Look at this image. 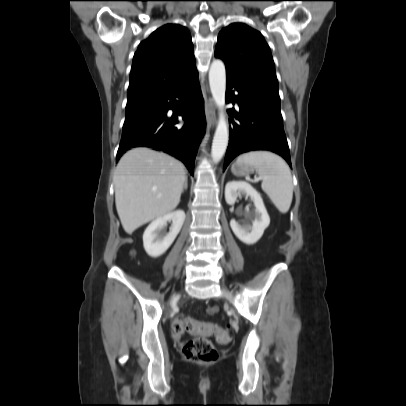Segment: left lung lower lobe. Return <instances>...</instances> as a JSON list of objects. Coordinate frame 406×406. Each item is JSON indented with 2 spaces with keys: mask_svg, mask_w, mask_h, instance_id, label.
<instances>
[{
  "mask_svg": "<svg viewBox=\"0 0 406 406\" xmlns=\"http://www.w3.org/2000/svg\"><path fill=\"white\" fill-rule=\"evenodd\" d=\"M226 96L233 104H238L239 113L231 109L228 113L235 116L239 122L231 119L224 170L237 155L252 150L277 153L292 167L280 112V98L248 87L229 75Z\"/></svg>",
  "mask_w": 406,
  "mask_h": 406,
  "instance_id": "1",
  "label": "left lung lower lobe"
}]
</instances>
